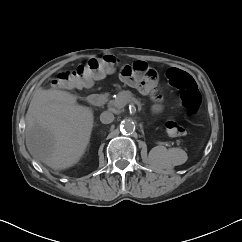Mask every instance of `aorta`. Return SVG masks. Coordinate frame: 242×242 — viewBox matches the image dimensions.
<instances>
[{"mask_svg":"<svg viewBox=\"0 0 242 242\" xmlns=\"http://www.w3.org/2000/svg\"><path fill=\"white\" fill-rule=\"evenodd\" d=\"M120 129L124 132H132L135 130V123L129 119L124 120L121 123Z\"/></svg>","mask_w":242,"mask_h":242,"instance_id":"obj_1","label":"aorta"}]
</instances>
